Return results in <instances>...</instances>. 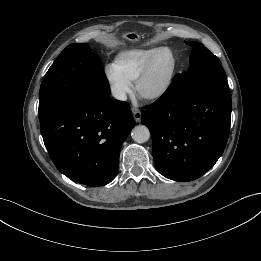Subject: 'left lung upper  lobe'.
<instances>
[{
    "label": "left lung upper lobe",
    "mask_w": 261,
    "mask_h": 261,
    "mask_svg": "<svg viewBox=\"0 0 261 261\" xmlns=\"http://www.w3.org/2000/svg\"><path fill=\"white\" fill-rule=\"evenodd\" d=\"M186 44L193 47L189 58L190 67L182 74L176 75L172 82L174 91L179 97L186 96L202 80L216 77L226 78L219 59L207 48L195 41H189Z\"/></svg>",
    "instance_id": "obj_1"
}]
</instances>
